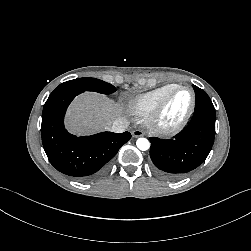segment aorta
<instances>
[{
  "label": "aorta",
  "instance_id": "obj_1",
  "mask_svg": "<svg viewBox=\"0 0 251 251\" xmlns=\"http://www.w3.org/2000/svg\"><path fill=\"white\" fill-rule=\"evenodd\" d=\"M136 145H137L138 149H140L142 151H146L150 147V143L146 138L137 139Z\"/></svg>",
  "mask_w": 251,
  "mask_h": 251
}]
</instances>
